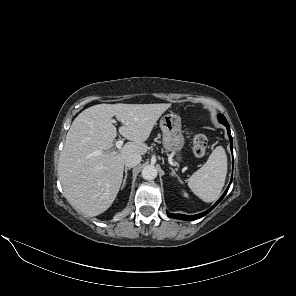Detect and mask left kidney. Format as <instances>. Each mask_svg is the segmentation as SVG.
Masks as SVG:
<instances>
[{"instance_id": "5707ae66", "label": "left kidney", "mask_w": 296, "mask_h": 296, "mask_svg": "<svg viewBox=\"0 0 296 296\" xmlns=\"http://www.w3.org/2000/svg\"><path fill=\"white\" fill-rule=\"evenodd\" d=\"M183 194L185 197H188V194L186 192L183 191Z\"/></svg>"}]
</instances>
